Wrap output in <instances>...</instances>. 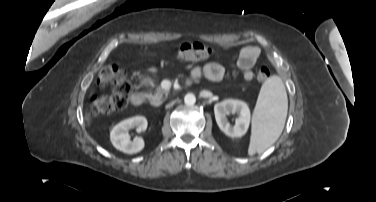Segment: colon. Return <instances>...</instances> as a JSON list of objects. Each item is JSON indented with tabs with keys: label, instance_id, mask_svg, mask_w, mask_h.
I'll return each mask as SVG.
<instances>
[{
	"label": "colon",
	"instance_id": "1",
	"mask_svg": "<svg viewBox=\"0 0 376 202\" xmlns=\"http://www.w3.org/2000/svg\"><path fill=\"white\" fill-rule=\"evenodd\" d=\"M214 50L200 42H186L173 50L172 57L177 60L202 61L209 59ZM270 76L267 65L261 64L257 70L259 81H265ZM98 84L113 85L110 96L93 98L90 104L92 115H104L124 109L129 102L132 86L125 73L114 65L104 67L98 74Z\"/></svg>",
	"mask_w": 376,
	"mask_h": 202
}]
</instances>
